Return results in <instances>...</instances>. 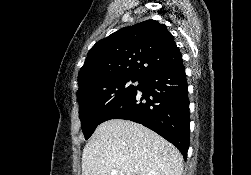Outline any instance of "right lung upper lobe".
I'll return each mask as SVG.
<instances>
[{"label": "right lung upper lobe", "instance_id": "1", "mask_svg": "<svg viewBox=\"0 0 251 175\" xmlns=\"http://www.w3.org/2000/svg\"><path fill=\"white\" fill-rule=\"evenodd\" d=\"M182 61L166 25L146 20L112 33L91 48L78 75L79 88L122 76L141 79Z\"/></svg>", "mask_w": 251, "mask_h": 175}]
</instances>
